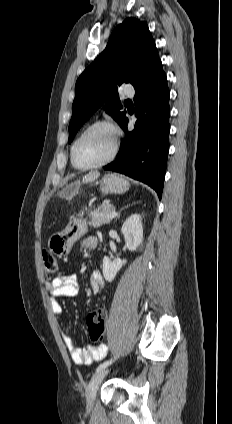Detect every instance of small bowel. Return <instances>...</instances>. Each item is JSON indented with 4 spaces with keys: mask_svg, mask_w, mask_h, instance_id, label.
Masks as SVG:
<instances>
[{
    "mask_svg": "<svg viewBox=\"0 0 232 424\" xmlns=\"http://www.w3.org/2000/svg\"><path fill=\"white\" fill-rule=\"evenodd\" d=\"M98 245L96 237H87L83 239L81 247L85 250L95 249ZM89 284L93 293H99L103 287V280L99 272L94 271L90 274ZM46 290L49 294V305L52 313L59 317L63 314V307L58 301V297H75L79 293L78 277L76 274L60 275L46 283ZM65 345L70 353L74 363L80 365H90L95 361L102 359L106 352L105 345L89 346L80 349L76 346L75 341L67 332H62Z\"/></svg>",
    "mask_w": 232,
    "mask_h": 424,
    "instance_id": "c3829d8e",
    "label": "small bowel"
}]
</instances>
